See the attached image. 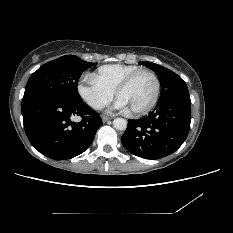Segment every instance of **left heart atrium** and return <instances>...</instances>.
I'll return each mask as SVG.
<instances>
[{"label": "left heart atrium", "instance_id": "left-heart-atrium-1", "mask_svg": "<svg viewBox=\"0 0 233 233\" xmlns=\"http://www.w3.org/2000/svg\"><path fill=\"white\" fill-rule=\"evenodd\" d=\"M126 109H128L126 104L120 98H117V100L114 102L113 106L111 107V110L124 111Z\"/></svg>", "mask_w": 233, "mask_h": 233}]
</instances>
